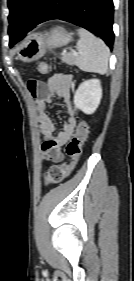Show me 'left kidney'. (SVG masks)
<instances>
[{"instance_id":"1","label":"left kidney","mask_w":134,"mask_h":281,"mask_svg":"<svg viewBox=\"0 0 134 281\" xmlns=\"http://www.w3.org/2000/svg\"><path fill=\"white\" fill-rule=\"evenodd\" d=\"M102 98L101 83L98 79H90L81 83L74 95L76 108L85 114H93Z\"/></svg>"}]
</instances>
